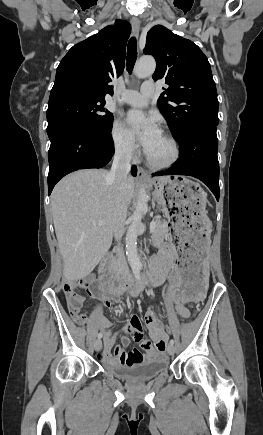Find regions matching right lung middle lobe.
I'll return each instance as SVG.
<instances>
[{
  "label": "right lung middle lobe",
  "mask_w": 263,
  "mask_h": 435,
  "mask_svg": "<svg viewBox=\"0 0 263 435\" xmlns=\"http://www.w3.org/2000/svg\"><path fill=\"white\" fill-rule=\"evenodd\" d=\"M105 103V100L76 99L48 106V136L62 127H82L100 135L109 134L113 115L104 108Z\"/></svg>",
  "instance_id": "obj_1"
}]
</instances>
